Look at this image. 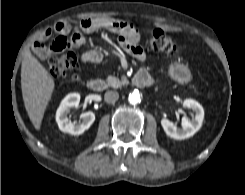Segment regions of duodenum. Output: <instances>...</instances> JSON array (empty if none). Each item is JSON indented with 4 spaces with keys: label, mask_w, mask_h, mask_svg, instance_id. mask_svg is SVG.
<instances>
[{
    "label": "duodenum",
    "mask_w": 245,
    "mask_h": 195,
    "mask_svg": "<svg viewBox=\"0 0 245 195\" xmlns=\"http://www.w3.org/2000/svg\"><path fill=\"white\" fill-rule=\"evenodd\" d=\"M132 84L139 88H147L153 85V79L146 71L137 72L133 79ZM88 88L93 92H101L106 88V84L101 79H91L87 83Z\"/></svg>",
    "instance_id": "duodenum-1"
}]
</instances>
